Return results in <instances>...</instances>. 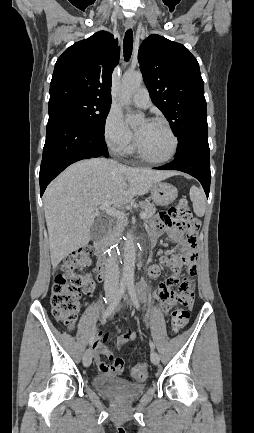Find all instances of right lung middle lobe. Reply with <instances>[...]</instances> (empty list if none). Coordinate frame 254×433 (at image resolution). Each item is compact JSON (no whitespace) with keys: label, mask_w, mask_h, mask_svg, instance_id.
<instances>
[{"label":"right lung middle lobe","mask_w":254,"mask_h":433,"mask_svg":"<svg viewBox=\"0 0 254 433\" xmlns=\"http://www.w3.org/2000/svg\"><path fill=\"white\" fill-rule=\"evenodd\" d=\"M111 103L95 99L72 98L49 105V115L58 113L74 118L84 125L104 132Z\"/></svg>","instance_id":"right-lung-middle-lobe-1"}]
</instances>
